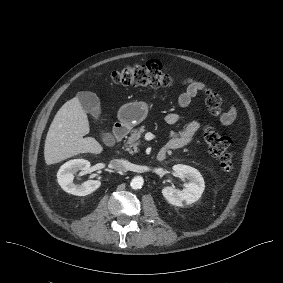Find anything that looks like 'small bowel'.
Returning a JSON list of instances; mask_svg holds the SVG:
<instances>
[{
	"label": "small bowel",
	"mask_w": 283,
	"mask_h": 283,
	"mask_svg": "<svg viewBox=\"0 0 283 283\" xmlns=\"http://www.w3.org/2000/svg\"><path fill=\"white\" fill-rule=\"evenodd\" d=\"M181 85L184 87V91L177 98V105L180 108H186L191 103L192 99L200 92L206 89L207 85L195 78H185ZM236 119V109L233 106L222 114L220 121L223 125H231ZM179 120V115L175 112H170L165 116V121L168 125L173 126ZM200 123L192 121L184 126L180 130H171L169 133V141L167 143V149H179L187 146L193 141L194 135L199 131Z\"/></svg>",
	"instance_id": "obj_1"
}]
</instances>
